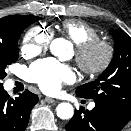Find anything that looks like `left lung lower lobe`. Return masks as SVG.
<instances>
[{"label": "left lung lower lobe", "mask_w": 131, "mask_h": 131, "mask_svg": "<svg viewBox=\"0 0 131 131\" xmlns=\"http://www.w3.org/2000/svg\"><path fill=\"white\" fill-rule=\"evenodd\" d=\"M127 123L110 107L95 102L91 111H75L65 128L67 131H120Z\"/></svg>", "instance_id": "obj_1"}]
</instances>
